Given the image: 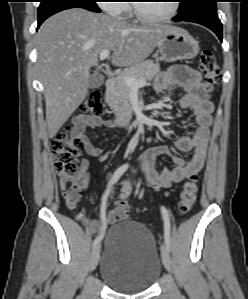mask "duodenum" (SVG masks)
Wrapping results in <instances>:
<instances>
[{"label":"duodenum","mask_w":248,"mask_h":299,"mask_svg":"<svg viewBox=\"0 0 248 299\" xmlns=\"http://www.w3.org/2000/svg\"><path fill=\"white\" fill-rule=\"evenodd\" d=\"M105 85L107 91L110 93L115 88L116 81L114 78L110 77L106 80ZM132 119H133V115L131 114L119 113L113 117L112 121L115 124L121 125V124H128Z\"/></svg>","instance_id":"obj_1"}]
</instances>
